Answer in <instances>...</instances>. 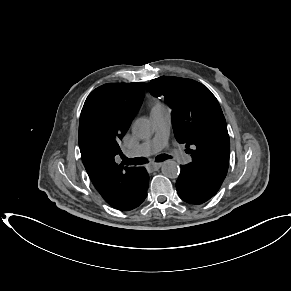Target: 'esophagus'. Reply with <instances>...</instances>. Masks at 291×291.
Masks as SVG:
<instances>
[{"label":"esophagus","instance_id":"1","mask_svg":"<svg viewBox=\"0 0 291 291\" xmlns=\"http://www.w3.org/2000/svg\"><path fill=\"white\" fill-rule=\"evenodd\" d=\"M162 166V163H151L148 168L151 170H157Z\"/></svg>","mask_w":291,"mask_h":291}]
</instances>
